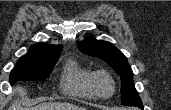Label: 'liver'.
<instances>
[{
    "label": "liver",
    "instance_id": "1",
    "mask_svg": "<svg viewBox=\"0 0 171 110\" xmlns=\"http://www.w3.org/2000/svg\"><path fill=\"white\" fill-rule=\"evenodd\" d=\"M10 110H84V108H81L79 106L70 104V103H41L37 106H34L32 108L26 109L23 108L18 101L12 104Z\"/></svg>",
    "mask_w": 171,
    "mask_h": 110
}]
</instances>
